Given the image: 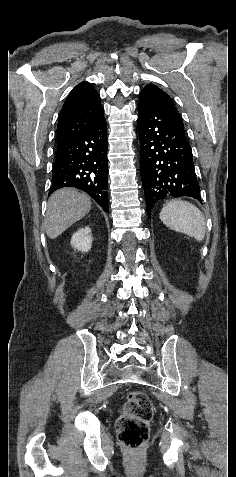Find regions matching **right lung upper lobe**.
Segmentation results:
<instances>
[{
	"label": "right lung upper lobe",
	"instance_id": "1",
	"mask_svg": "<svg viewBox=\"0 0 236 477\" xmlns=\"http://www.w3.org/2000/svg\"><path fill=\"white\" fill-rule=\"evenodd\" d=\"M104 118L100 96L88 82L69 94L57 126V149L72 142Z\"/></svg>",
	"mask_w": 236,
	"mask_h": 477
}]
</instances>
